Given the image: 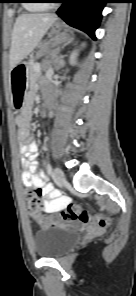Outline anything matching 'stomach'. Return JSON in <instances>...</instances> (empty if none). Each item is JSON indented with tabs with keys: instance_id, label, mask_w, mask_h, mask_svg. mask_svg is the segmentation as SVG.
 I'll return each instance as SVG.
<instances>
[{
	"instance_id": "0dacf381",
	"label": "stomach",
	"mask_w": 136,
	"mask_h": 296,
	"mask_svg": "<svg viewBox=\"0 0 136 296\" xmlns=\"http://www.w3.org/2000/svg\"><path fill=\"white\" fill-rule=\"evenodd\" d=\"M60 26L55 25L54 31L58 32ZM27 70L26 62H20L12 69V84H27ZM13 90V108L14 111H21L24 105L25 90H29V85H11Z\"/></svg>"
}]
</instances>
